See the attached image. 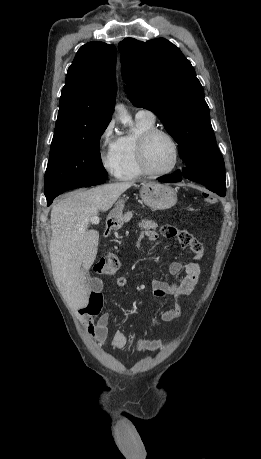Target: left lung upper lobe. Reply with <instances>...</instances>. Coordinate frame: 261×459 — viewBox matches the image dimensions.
Instances as JSON below:
<instances>
[{"instance_id":"5c2ea615","label":"left lung upper lobe","mask_w":261,"mask_h":459,"mask_svg":"<svg viewBox=\"0 0 261 459\" xmlns=\"http://www.w3.org/2000/svg\"><path fill=\"white\" fill-rule=\"evenodd\" d=\"M119 51L130 101L154 112L179 144V156L186 163L182 174H225L204 91L190 61L164 38H126Z\"/></svg>"}]
</instances>
